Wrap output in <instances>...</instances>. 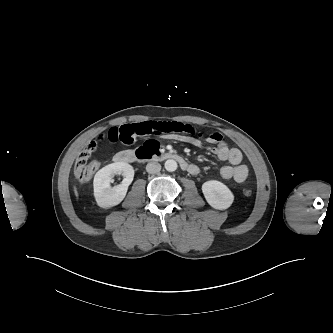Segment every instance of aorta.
<instances>
[{
	"instance_id": "762f6f07",
	"label": "aorta",
	"mask_w": 333,
	"mask_h": 333,
	"mask_svg": "<svg viewBox=\"0 0 333 333\" xmlns=\"http://www.w3.org/2000/svg\"><path fill=\"white\" fill-rule=\"evenodd\" d=\"M177 162L173 159H168L165 164H164V167L167 171L169 172H174L176 171L177 169Z\"/></svg>"
}]
</instances>
